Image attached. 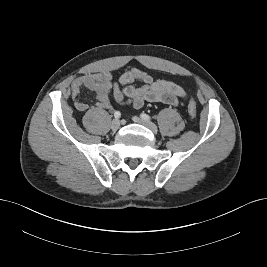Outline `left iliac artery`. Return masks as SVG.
I'll use <instances>...</instances> for the list:
<instances>
[{
    "label": "left iliac artery",
    "mask_w": 267,
    "mask_h": 267,
    "mask_svg": "<svg viewBox=\"0 0 267 267\" xmlns=\"http://www.w3.org/2000/svg\"><path fill=\"white\" fill-rule=\"evenodd\" d=\"M140 116H141V118L143 120H146V121H150L151 120V117L149 115L145 114V113H142Z\"/></svg>",
    "instance_id": "left-iliac-artery-1"
}]
</instances>
